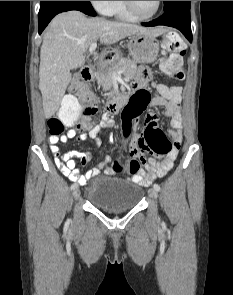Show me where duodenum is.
<instances>
[{
  "label": "duodenum",
  "mask_w": 233,
  "mask_h": 295,
  "mask_svg": "<svg viewBox=\"0 0 233 295\" xmlns=\"http://www.w3.org/2000/svg\"><path fill=\"white\" fill-rule=\"evenodd\" d=\"M94 69L91 67H85L81 72V78L84 81H92L94 79ZM128 102V96L125 94H119L111 98L106 105V109L110 113H117Z\"/></svg>",
  "instance_id": "obj_1"
}]
</instances>
